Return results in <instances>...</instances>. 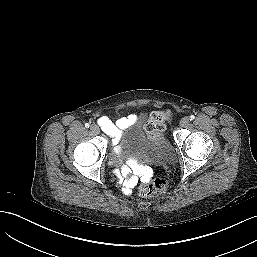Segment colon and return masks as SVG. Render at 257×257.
Returning <instances> with one entry per match:
<instances>
[{
  "instance_id": "colon-1",
  "label": "colon",
  "mask_w": 257,
  "mask_h": 257,
  "mask_svg": "<svg viewBox=\"0 0 257 257\" xmlns=\"http://www.w3.org/2000/svg\"><path fill=\"white\" fill-rule=\"evenodd\" d=\"M170 118V111H154L151 113L149 120L146 122V129L151 134H158L165 129ZM167 187L168 182L163 178L148 180L140 186L139 195L141 197H149L157 193L165 192Z\"/></svg>"
}]
</instances>
